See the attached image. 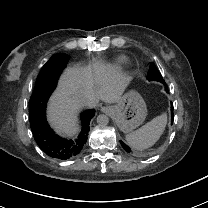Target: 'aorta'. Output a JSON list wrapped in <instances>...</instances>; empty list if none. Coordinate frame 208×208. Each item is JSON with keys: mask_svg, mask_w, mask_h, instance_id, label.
Returning a JSON list of instances; mask_svg holds the SVG:
<instances>
[{"mask_svg": "<svg viewBox=\"0 0 208 208\" xmlns=\"http://www.w3.org/2000/svg\"><path fill=\"white\" fill-rule=\"evenodd\" d=\"M97 123L99 125L105 126L109 123V118L107 115L101 114L97 116Z\"/></svg>", "mask_w": 208, "mask_h": 208, "instance_id": "1", "label": "aorta"}]
</instances>
